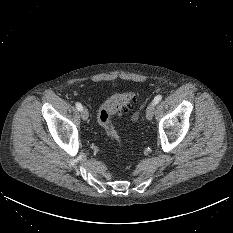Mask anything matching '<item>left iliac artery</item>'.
Here are the masks:
<instances>
[{
	"mask_svg": "<svg viewBox=\"0 0 233 233\" xmlns=\"http://www.w3.org/2000/svg\"><path fill=\"white\" fill-rule=\"evenodd\" d=\"M161 99H162V95H157L153 100L154 104L156 105L159 101H161Z\"/></svg>",
	"mask_w": 233,
	"mask_h": 233,
	"instance_id": "left-iliac-artery-1",
	"label": "left iliac artery"
}]
</instances>
